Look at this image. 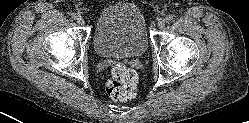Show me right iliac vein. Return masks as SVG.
<instances>
[{
	"mask_svg": "<svg viewBox=\"0 0 249 123\" xmlns=\"http://www.w3.org/2000/svg\"><path fill=\"white\" fill-rule=\"evenodd\" d=\"M77 23L79 25H84L85 24V20L82 17H79V18H77Z\"/></svg>",
	"mask_w": 249,
	"mask_h": 123,
	"instance_id": "right-iliac-vein-1",
	"label": "right iliac vein"
}]
</instances>
